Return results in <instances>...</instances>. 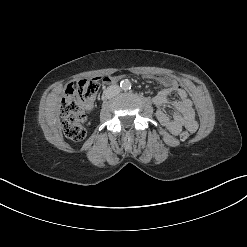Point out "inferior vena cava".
<instances>
[{"label": "inferior vena cava", "mask_w": 247, "mask_h": 247, "mask_svg": "<svg viewBox=\"0 0 247 247\" xmlns=\"http://www.w3.org/2000/svg\"><path fill=\"white\" fill-rule=\"evenodd\" d=\"M119 92L120 87L118 85H111L104 91V96L109 99L119 94Z\"/></svg>", "instance_id": "inferior-vena-cava-1"}]
</instances>
